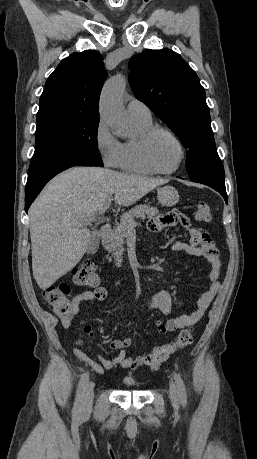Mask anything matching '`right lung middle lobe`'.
I'll list each match as a JSON object with an SVG mask.
<instances>
[{
	"label": "right lung middle lobe",
	"instance_id": "obj_1",
	"mask_svg": "<svg viewBox=\"0 0 257 459\" xmlns=\"http://www.w3.org/2000/svg\"><path fill=\"white\" fill-rule=\"evenodd\" d=\"M99 117L68 111L37 113L35 152L32 160L61 154L88 157L103 166L97 148Z\"/></svg>",
	"mask_w": 257,
	"mask_h": 459
}]
</instances>
